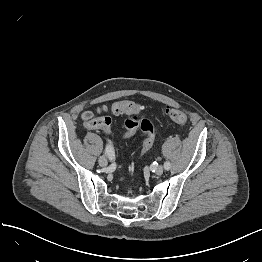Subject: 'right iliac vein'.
<instances>
[{"label":"right iliac vein","instance_id":"1","mask_svg":"<svg viewBox=\"0 0 262 262\" xmlns=\"http://www.w3.org/2000/svg\"><path fill=\"white\" fill-rule=\"evenodd\" d=\"M98 163L100 166L105 167L108 164L107 158L105 156H100L98 159Z\"/></svg>","mask_w":262,"mask_h":262}]
</instances>
